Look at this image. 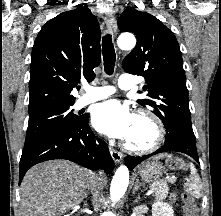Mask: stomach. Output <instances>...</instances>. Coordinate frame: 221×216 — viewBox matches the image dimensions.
<instances>
[{"label":"stomach","mask_w":221,"mask_h":216,"mask_svg":"<svg viewBox=\"0 0 221 216\" xmlns=\"http://www.w3.org/2000/svg\"><path fill=\"white\" fill-rule=\"evenodd\" d=\"M164 172L165 168L157 160L147 162L139 168L141 178L149 183L157 181Z\"/></svg>","instance_id":"obj_1"}]
</instances>
